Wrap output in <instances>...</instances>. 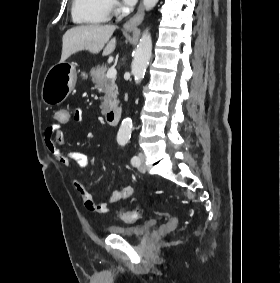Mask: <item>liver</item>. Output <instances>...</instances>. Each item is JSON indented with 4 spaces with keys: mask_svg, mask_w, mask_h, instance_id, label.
<instances>
[{
    "mask_svg": "<svg viewBox=\"0 0 280 283\" xmlns=\"http://www.w3.org/2000/svg\"><path fill=\"white\" fill-rule=\"evenodd\" d=\"M115 25H80L66 31L62 38V55L60 62H65L79 51L98 54L103 49V56L110 55L116 47V38H111ZM106 45V46H105Z\"/></svg>",
    "mask_w": 280,
    "mask_h": 283,
    "instance_id": "6515ba94",
    "label": "liver"
}]
</instances>
